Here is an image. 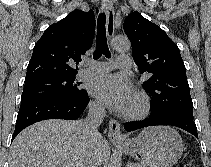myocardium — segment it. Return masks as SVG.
<instances>
[{
  "mask_svg": "<svg viewBox=\"0 0 211 167\" xmlns=\"http://www.w3.org/2000/svg\"><path fill=\"white\" fill-rule=\"evenodd\" d=\"M133 108L124 113L128 120H140L145 118L151 109V101L144 92H135L132 98Z\"/></svg>",
  "mask_w": 211,
  "mask_h": 167,
  "instance_id": "myocardium-1",
  "label": "myocardium"
}]
</instances>
